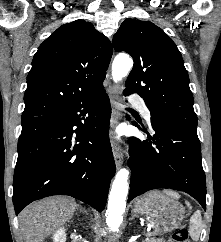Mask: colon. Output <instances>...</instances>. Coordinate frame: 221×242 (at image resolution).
Wrapping results in <instances>:
<instances>
[{"label": "colon", "instance_id": "5ec220e1", "mask_svg": "<svg viewBox=\"0 0 221 242\" xmlns=\"http://www.w3.org/2000/svg\"><path fill=\"white\" fill-rule=\"evenodd\" d=\"M169 242H189L188 231L184 228L177 229L172 234Z\"/></svg>", "mask_w": 221, "mask_h": 242}]
</instances>
